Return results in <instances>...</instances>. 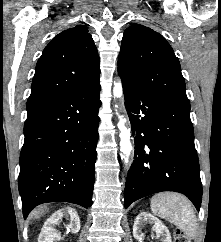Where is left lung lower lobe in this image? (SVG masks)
Returning a JSON list of instances; mask_svg holds the SVG:
<instances>
[{"mask_svg": "<svg viewBox=\"0 0 221 242\" xmlns=\"http://www.w3.org/2000/svg\"><path fill=\"white\" fill-rule=\"evenodd\" d=\"M135 137L124 206L161 191L186 195L199 211L202 184L190 109L159 99L118 71Z\"/></svg>", "mask_w": 221, "mask_h": 242, "instance_id": "left-lung-lower-lobe-1", "label": "left lung lower lobe"}]
</instances>
